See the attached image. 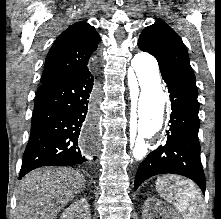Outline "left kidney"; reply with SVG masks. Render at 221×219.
Wrapping results in <instances>:
<instances>
[{"label":"left kidney","mask_w":221,"mask_h":219,"mask_svg":"<svg viewBox=\"0 0 221 219\" xmlns=\"http://www.w3.org/2000/svg\"><path fill=\"white\" fill-rule=\"evenodd\" d=\"M155 213H159L164 219H179L177 214L163 201L149 198L144 202L143 219H153Z\"/></svg>","instance_id":"5707ae66"}]
</instances>
